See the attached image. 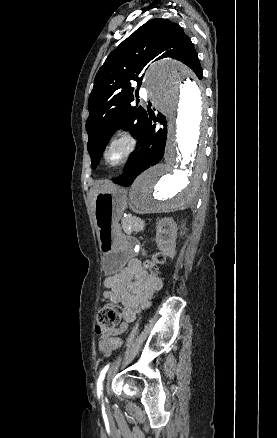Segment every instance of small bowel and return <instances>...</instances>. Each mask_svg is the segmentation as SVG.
<instances>
[{
  "label": "small bowel",
  "instance_id": "1",
  "mask_svg": "<svg viewBox=\"0 0 277 438\" xmlns=\"http://www.w3.org/2000/svg\"><path fill=\"white\" fill-rule=\"evenodd\" d=\"M145 255V253H142ZM104 285L107 288L104 298L112 304L123 306V321L111 332L104 334L99 341V349L108 353L112 348V340L121 335L127 325L133 322L139 311L148 306L153 295L162 287L161 279L149 273L142 261L133 253L123 269L108 276Z\"/></svg>",
  "mask_w": 277,
  "mask_h": 438
}]
</instances>
